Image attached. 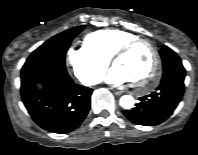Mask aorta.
I'll return each mask as SVG.
<instances>
[{"mask_svg":"<svg viewBox=\"0 0 198 155\" xmlns=\"http://www.w3.org/2000/svg\"><path fill=\"white\" fill-rule=\"evenodd\" d=\"M120 106L124 109H131L134 106L135 100L130 95H124L120 98Z\"/></svg>","mask_w":198,"mask_h":155,"instance_id":"obj_1","label":"aorta"}]
</instances>
